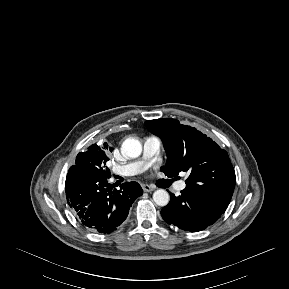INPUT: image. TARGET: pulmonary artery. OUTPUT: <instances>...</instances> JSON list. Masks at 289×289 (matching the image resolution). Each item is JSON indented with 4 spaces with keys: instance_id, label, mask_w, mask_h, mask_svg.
<instances>
[{
    "instance_id": "e3ab8cb5",
    "label": "pulmonary artery",
    "mask_w": 289,
    "mask_h": 289,
    "mask_svg": "<svg viewBox=\"0 0 289 289\" xmlns=\"http://www.w3.org/2000/svg\"><path fill=\"white\" fill-rule=\"evenodd\" d=\"M160 148V138L156 136H150L144 141L143 155L139 160L124 165H116L112 168V171L115 174L121 176H133L139 174L155 161L157 155L160 152ZM185 187V182L181 181L176 185V190L182 191L185 189Z\"/></svg>"
}]
</instances>
